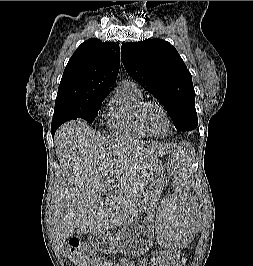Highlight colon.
<instances>
[{
  "mask_svg": "<svg viewBox=\"0 0 253 266\" xmlns=\"http://www.w3.org/2000/svg\"><path fill=\"white\" fill-rule=\"evenodd\" d=\"M67 258L76 266H118L110 260L99 256L86 242L71 238L65 252ZM185 260L175 251L156 253L151 260L142 266H182Z\"/></svg>",
  "mask_w": 253,
  "mask_h": 266,
  "instance_id": "obj_1",
  "label": "colon"
}]
</instances>
